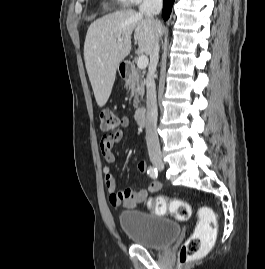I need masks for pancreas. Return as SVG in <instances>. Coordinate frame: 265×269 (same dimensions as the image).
I'll use <instances>...</instances> for the list:
<instances>
[{
	"mask_svg": "<svg viewBox=\"0 0 265 269\" xmlns=\"http://www.w3.org/2000/svg\"><path fill=\"white\" fill-rule=\"evenodd\" d=\"M127 87L131 89V95L134 97V108H138L139 98H143L145 93L143 76L135 70L127 82Z\"/></svg>",
	"mask_w": 265,
	"mask_h": 269,
	"instance_id": "1",
	"label": "pancreas"
}]
</instances>
